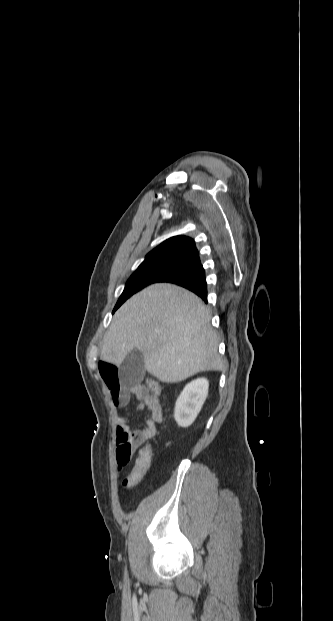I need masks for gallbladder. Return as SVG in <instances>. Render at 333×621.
Segmentation results:
<instances>
[{
  "label": "gallbladder",
  "instance_id": "obj_1",
  "mask_svg": "<svg viewBox=\"0 0 333 621\" xmlns=\"http://www.w3.org/2000/svg\"><path fill=\"white\" fill-rule=\"evenodd\" d=\"M145 375V365L143 354L133 349L129 352L119 367V379L128 387L140 383Z\"/></svg>",
  "mask_w": 333,
  "mask_h": 621
}]
</instances>
